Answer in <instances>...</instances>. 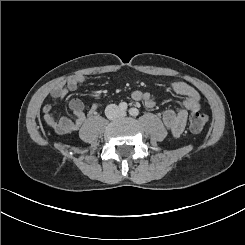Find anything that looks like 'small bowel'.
<instances>
[{"label": "small bowel", "mask_w": 245, "mask_h": 245, "mask_svg": "<svg viewBox=\"0 0 245 245\" xmlns=\"http://www.w3.org/2000/svg\"><path fill=\"white\" fill-rule=\"evenodd\" d=\"M84 80L85 78L81 75L70 77L56 85L51 90L49 96L51 99L61 100L68 92L77 90ZM170 87L173 92L184 99L177 111L166 110L162 115V120L164 126L172 135L178 137L185 128L189 114L200 109L201 98L197 90L184 81L172 82ZM131 97L135 102H141L148 108L156 105L155 99L148 92L136 90L132 93ZM100 106V103H94L88 113L90 115L96 114ZM69 108L74 115V119L67 117L58 118L53 113L51 104H45L42 108L45 123L58 134H67L78 130L87 117L85 105L81 100L74 98L69 101Z\"/></svg>", "instance_id": "obj_1"}]
</instances>
